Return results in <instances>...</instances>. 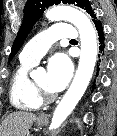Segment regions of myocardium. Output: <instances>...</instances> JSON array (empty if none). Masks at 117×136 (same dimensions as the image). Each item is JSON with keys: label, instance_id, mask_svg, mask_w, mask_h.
<instances>
[{"label": "myocardium", "instance_id": "obj_1", "mask_svg": "<svg viewBox=\"0 0 117 136\" xmlns=\"http://www.w3.org/2000/svg\"><path fill=\"white\" fill-rule=\"evenodd\" d=\"M33 85L35 92L41 102H51L56 98V94L46 91L45 89L40 87L35 80L33 81Z\"/></svg>", "mask_w": 117, "mask_h": 136}]
</instances>
